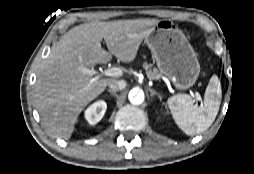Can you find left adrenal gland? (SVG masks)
Segmentation results:
<instances>
[{
	"instance_id": "obj_1",
	"label": "left adrenal gland",
	"mask_w": 254,
	"mask_h": 174,
	"mask_svg": "<svg viewBox=\"0 0 254 174\" xmlns=\"http://www.w3.org/2000/svg\"><path fill=\"white\" fill-rule=\"evenodd\" d=\"M149 91H150L151 97L158 96L160 99L162 98L161 95L158 92H156L154 89L149 88Z\"/></svg>"
}]
</instances>
